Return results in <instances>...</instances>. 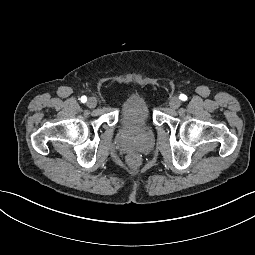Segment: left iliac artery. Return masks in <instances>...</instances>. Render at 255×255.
<instances>
[{"label": "left iliac artery", "instance_id": "obj_1", "mask_svg": "<svg viewBox=\"0 0 255 255\" xmlns=\"http://www.w3.org/2000/svg\"><path fill=\"white\" fill-rule=\"evenodd\" d=\"M180 99H181V100H186L187 97H186L184 94H181V95H180Z\"/></svg>", "mask_w": 255, "mask_h": 255}]
</instances>
